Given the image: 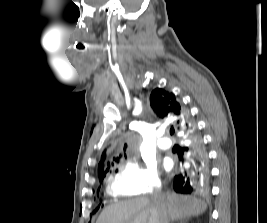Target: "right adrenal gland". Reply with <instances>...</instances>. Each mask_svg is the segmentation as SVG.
Wrapping results in <instances>:
<instances>
[{
  "mask_svg": "<svg viewBox=\"0 0 267 223\" xmlns=\"http://www.w3.org/2000/svg\"><path fill=\"white\" fill-rule=\"evenodd\" d=\"M188 219H189V218H183V219L180 220L179 223H186V221H187Z\"/></svg>",
  "mask_w": 267,
  "mask_h": 223,
  "instance_id": "obj_1",
  "label": "right adrenal gland"
}]
</instances>
